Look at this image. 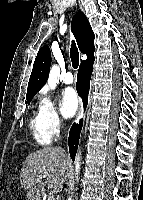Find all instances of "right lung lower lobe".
<instances>
[{
	"instance_id": "right-lung-lower-lobe-1",
	"label": "right lung lower lobe",
	"mask_w": 143,
	"mask_h": 200,
	"mask_svg": "<svg viewBox=\"0 0 143 200\" xmlns=\"http://www.w3.org/2000/svg\"><path fill=\"white\" fill-rule=\"evenodd\" d=\"M93 63H94V55L92 57L87 58V60L83 61L78 70L76 88L78 94L83 98L84 106H86L88 100V92L90 86L91 73L93 69ZM81 128H82V121H80V125L74 124L69 133V152L73 161L78 148V141Z\"/></svg>"
}]
</instances>
